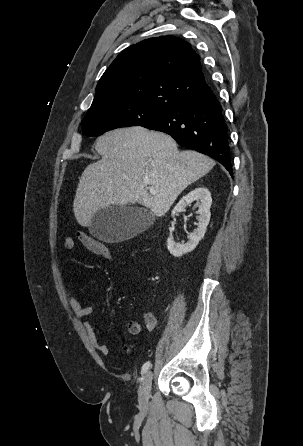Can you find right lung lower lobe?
Segmentation results:
<instances>
[{"label":"right lung lower lobe","mask_w":303,"mask_h":446,"mask_svg":"<svg viewBox=\"0 0 303 446\" xmlns=\"http://www.w3.org/2000/svg\"><path fill=\"white\" fill-rule=\"evenodd\" d=\"M140 126L171 135L181 146L217 160L232 175L227 125L212 90L180 103Z\"/></svg>","instance_id":"98d812e1"}]
</instances>
